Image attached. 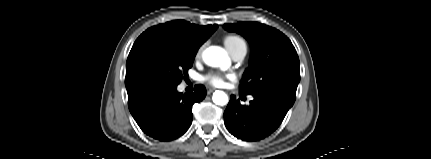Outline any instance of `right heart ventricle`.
<instances>
[{
	"label": "right heart ventricle",
	"instance_id": "e07e8e85",
	"mask_svg": "<svg viewBox=\"0 0 431 159\" xmlns=\"http://www.w3.org/2000/svg\"><path fill=\"white\" fill-rule=\"evenodd\" d=\"M224 43L229 52L233 51L241 45H245L244 40L241 37L235 35H229L225 37Z\"/></svg>",
	"mask_w": 431,
	"mask_h": 159
}]
</instances>
